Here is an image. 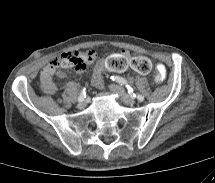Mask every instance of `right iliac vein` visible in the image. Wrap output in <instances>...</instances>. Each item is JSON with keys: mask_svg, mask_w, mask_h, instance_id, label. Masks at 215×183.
Masks as SVG:
<instances>
[{"mask_svg": "<svg viewBox=\"0 0 215 183\" xmlns=\"http://www.w3.org/2000/svg\"><path fill=\"white\" fill-rule=\"evenodd\" d=\"M86 106L85 100L79 101L78 108L83 109Z\"/></svg>", "mask_w": 215, "mask_h": 183, "instance_id": "1", "label": "right iliac vein"}]
</instances>
